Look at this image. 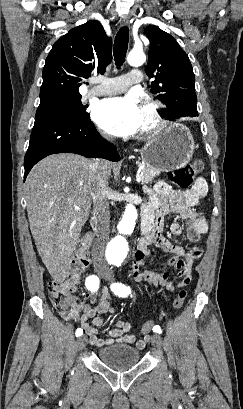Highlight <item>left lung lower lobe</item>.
Listing matches in <instances>:
<instances>
[{
  "label": "left lung lower lobe",
  "instance_id": "left-lung-lower-lobe-1",
  "mask_svg": "<svg viewBox=\"0 0 243 409\" xmlns=\"http://www.w3.org/2000/svg\"><path fill=\"white\" fill-rule=\"evenodd\" d=\"M187 116L195 117V116H198V114H196V113H190V112L179 113V114H177L175 117H173V120H171V121H175L176 119H178V118H180V117H187ZM168 120H169V119H168Z\"/></svg>",
  "mask_w": 243,
  "mask_h": 409
}]
</instances>
